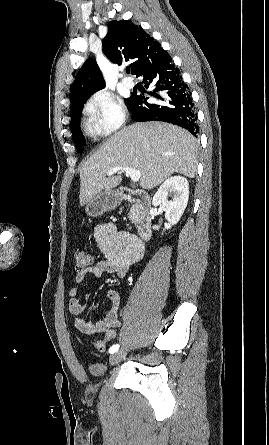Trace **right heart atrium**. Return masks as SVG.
Segmentation results:
<instances>
[{
  "label": "right heart atrium",
  "instance_id": "right-heart-atrium-1",
  "mask_svg": "<svg viewBox=\"0 0 269 445\" xmlns=\"http://www.w3.org/2000/svg\"><path fill=\"white\" fill-rule=\"evenodd\" d=\"M84 110L104 134L119 130L126 121V109L122 101L108 93L97 92L86 102Z\"/></svg>",
  "mask_w": 269,
  "mask_h": 445
}]
</instances>
